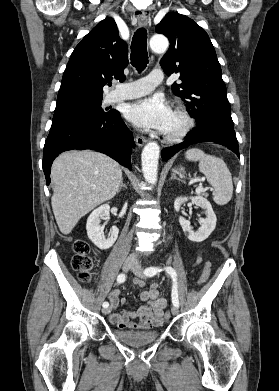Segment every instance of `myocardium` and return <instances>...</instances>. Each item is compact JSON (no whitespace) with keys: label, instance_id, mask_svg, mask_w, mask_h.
<instances>
[{"label":"myocardium","instance_id":"1","mask_svg":"<svg viewBox=\"0 0 279 391\" xmlns=\"http://www.w3.org/2000/svg\"><path fill=\"white\" fill-rule=\"evenodd\" d=\"M172 113L182 120V126L175 132H164V139L170 143L178 142L185 138L194 126L193 118L184 107L177 105L173 108Z\"/></svg>","mask_w":279,"mask_h":391}]
</instances>
